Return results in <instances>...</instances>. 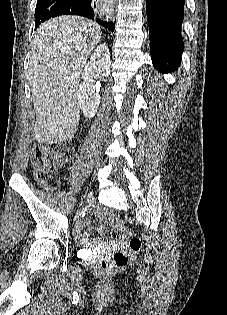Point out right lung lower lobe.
<instances>
[{
  "instance_id": "obj_1",
  "label": "right lung lower lobe",
  "mask_w": 227,
  "mask_h": 315,
  "mask_svg": "<svg viewBox=\"0 0 227 315\" xmlns=\"http://www.w3.org/2000/svg\"><path fill=\"white\" fill-rule=\"evenodd\" d=\"M95 6V0H68L58 10L55 11L53 17L62 15H79L95 20L105 28L114 31L115 26L113 22L102 21L96 17V15H94Z\"/></svg>"
}]
</instances>
